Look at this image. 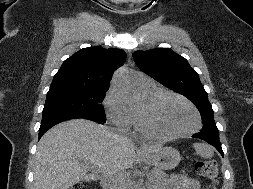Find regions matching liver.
<instances>
[{
	"mask_svg": "<svg viewBox=\"0 0 253 189\" xmlns=\"http://www.w3.org/2000/svg\"><path fill=\"white\" fill-rule=\"evenodd\" d=\"M161 149L160 145L145 146L138 153L149 155ZM136 159L135 148L125 137L90 120L65 121L46 132L38 143L34 189H68L115 173L128 177L127 170Z\"/></svg>",
	"mask_w": 253,
	"mask_h": 189,
	"instance_id": "liver-1",
	"label": "liver"
}]
</instances>
